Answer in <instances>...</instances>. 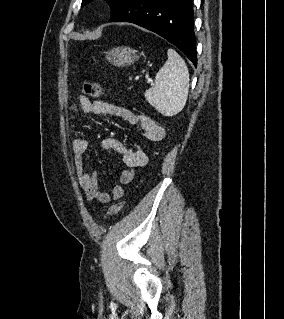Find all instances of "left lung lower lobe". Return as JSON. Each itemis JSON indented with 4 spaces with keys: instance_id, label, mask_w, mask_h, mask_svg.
<instances>
[{
    "instance_id": "0a47b994",
    "label": "left lung lower lobe",
    "mask_w": 284,
    "mask_h": 319,
    "mask_svg": "<svg viewBox=\"0 0 284 319\" xmlns=\"http://www.w3.org/2000/svg\"><path fill=\"white\" fill-rule=\"evenodd\" d=\"M193 0H128L109 22H131L177 46L197 66Z\"/></svg>"
}]
</instances>
